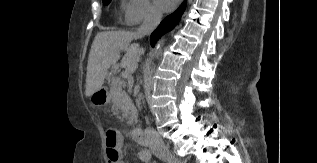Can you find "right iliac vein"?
Wrapping results in <instances>:
<instances>
[{
  "label": "right iliac vein",
  "instance_id": "right-iliac-vein-1",
  "mask_svg": "<svg viewBox=\"0 0 317 163\" xmlns=\"http://www.w3.org/2000/svg\"><path fill=\"white\" fill-rule=\"evenodd\" d=\"M168 163H181V162L177 161L176 159H170Z\"/></svg>",
  "mask_w": 317,
  "mask_h": 163
}]
</instances>
